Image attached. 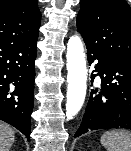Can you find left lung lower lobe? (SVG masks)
<instances>
[{"label":"left lung lower lobe","instance_id":"obj_1","mask_svg":"<svg viewBox=\"0 0 131 151\" xmlns=\"http://www.w3.org/2000/svg\"><path fill=\"white\" fill-rule=\"evenodd\" d=\"M89 65L98 60L92 74L101 78V87L91 90L82 121L74 137L92 130L124 128L131 130V65L89 46ZM92 72V73H93Z\"/></svg>","mask_w":131,"mask_h":151}]
</instances>
